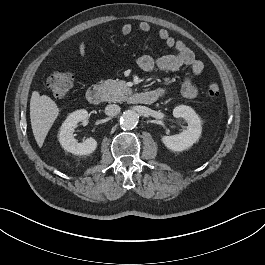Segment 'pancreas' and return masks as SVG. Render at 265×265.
Returning a JSON list of instances; mask_svg holds the SVG:
<instances>
[{
	"label": "pancreas",
	"mask_w": 265,
	"mask_h": 265,
	"mask_svg": "<svg viewBox=\"0 0 265 265\" xmlns=\"http://www.w3.org/2000/svg\"><path fill=\"white\" fill-rule=\"evenodd\" d=\"M100 88L107 102H122L127 99L129 89L124 81L108 79L100 82Z\"/></svg>",
	"instance_id": "obj_1"
}]
</instances>
